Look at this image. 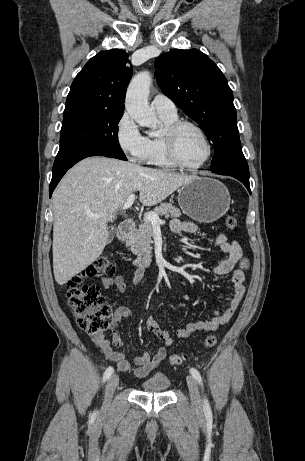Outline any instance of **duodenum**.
I'll return each mask as SVG.
<instances>
[{"label":"duodenum","mask_w":305,"mask_h":461,"mask_svg":"<svg viewBox=\"0 0 305 461\" xmlns=\"http://www.w3.org/2000/svg\"><path fill=\"white\" fill-rule=\"evenodd\" d=\"M133 230V221H123L117 229V238L120 243H124L131 235ZM131 263L139 268H147L150 266L151 259L148 256H142L131 260Z\"/></svg>","instance_id":"410a0bca"}]
</instances>
